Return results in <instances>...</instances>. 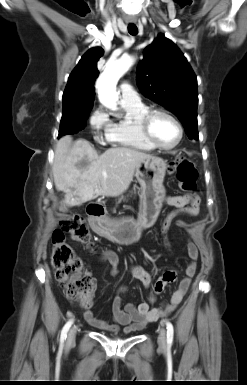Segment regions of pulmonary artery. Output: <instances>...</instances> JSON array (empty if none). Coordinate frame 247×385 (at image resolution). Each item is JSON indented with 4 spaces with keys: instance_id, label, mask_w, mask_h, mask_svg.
<instances>
[{
    "instance_id": "1",
    "label": "pulmonary artery",
    "mask_w": 247,
    "mask_h": 385,
    "mask_svg": "<svg viewBox=\"0 0 247 385\" xmlns=\"http://www.w3.org/2000/svg\"><path fill=\"white\" fill-rule=\"evenodd\" d=\"M121 103L139 104L141 102L138 93L128 83H122L120 86Z\"/></svg>"
}]
</instances>
